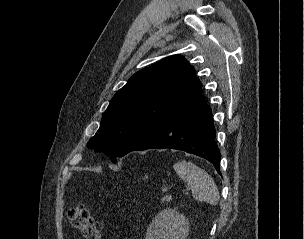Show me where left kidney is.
Instances as JSON below:
<instances>
[{
  "label": "left kidney",
  "mask_w": 304,
  "mask_h": 239,
  "mask_svg": "<svg viewBox=\"0 0 304 239\" xmlns=\"http://www.w3.org/2000/svg\"><path fill=\"white\" fill-rule=\"evenodd\" d=\"M188 232V219L175 209H166L152 220L145 239H186Z\"/></svg>",
  "instance_id": "left-kidney-1"
}]
</instances>
